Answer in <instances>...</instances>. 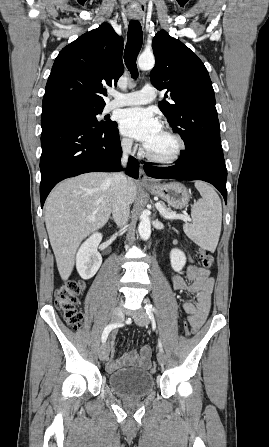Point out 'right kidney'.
<instances>
[{
	"label": "right kidney",
	"mask_w": 269,
	"mask_h": 447,
	"mask_svg": "<svg viewBox=\"0 0 269 447\" xmlns=\"http://www.w3.org/2000/svg\"><path fill=\"white\" fill-rule=\"evenodd\" d=\"M101 239L102 233H92L77 251L76 267L83 279L93 277L102 263V255L98 251Z\"/></svg>",
	"instance_id": "obj_1"
}]
</instances>
